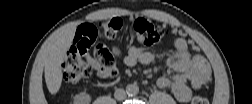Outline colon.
<instances>
[{
	"label": "colon",
	"mask_w": 252,
	"mask_h": 104,
	"mask_svg": "<svg viewBox=\"0 0 252 104\" xmlns=\"http://www.w3.org/2000/svg\"><path fill=\"white\" fill-rule=\"evenodd\" d=\"M123 27L120 18H112L97 24L85 23L80 25L75 33L74 45L66 52L62 63L63 76L69 83H77L90 75L91 70L84 60V55L98 38L115 40ZM136 40L144 45H153L170 34L166 26L155 24L145 18H137L132 23ZM96 56L110 76L116 74V58L120 51L115 46L99 44L95 48ZM193 104H206L203 96L193 98Z\"/></svg>",
	"instance_id": "colon-1"
}]
</instances>
